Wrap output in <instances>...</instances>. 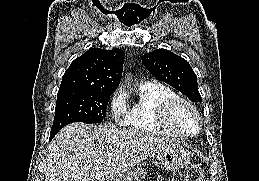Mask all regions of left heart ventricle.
I'll list each match as a JSON object with an SVG mask.
<instances>
[{
  "mask_svg": "<svg viewBox=\"0 0 259 181\" xmlns=\"http://www.w3.org/2000/svg\"><path fill=\"white\" fill-rule=\"evenodd\" d=\"M176 121L186 130L195 128V118L192 113L185 107H180L176 113Z\"/></svg>",
  "mask_w": 259,
  "mask_h": 181,
  "instance_id": "b2bd125f",
  "label": "left heart ventricle"
}]
</instances>
